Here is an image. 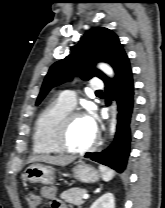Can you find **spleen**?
Listing matches in <instances>:
<instances>
[{
    "instance_id": "3e777b00",
    "label": "spleen",
    "mask_w": 165,
    "mask_h": 208,
    "mask_svg": "<svg viewBox=\"0 0 165 208\" xmlns=\"http://www.w3.org/2000/svg\"><path fill=\"white\" fill-rule=\"evenodd\" d=\"M99 169L102 173V179L105 181V182H108L110 180L113 179L114 175H115V172L111 169H109L108 167L106 166H103V165H100L99 166Z\"/></svg>"
}]
</instances>
